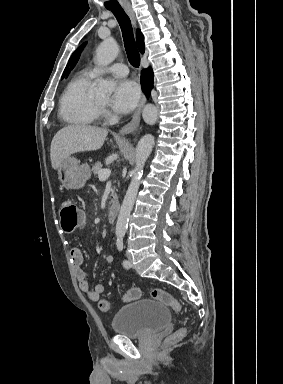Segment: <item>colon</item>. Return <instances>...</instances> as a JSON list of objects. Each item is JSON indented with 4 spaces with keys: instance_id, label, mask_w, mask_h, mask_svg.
<instances>
[{
    "instance_id": "1",
    "label": "colon",
    "mask_w": 283,
    "mask_h": 384,
    "mask_svg": "<svg viewBox=\"0 0 283 384\" xmlns=\"http://www.w3.org/2000/svg\"><path fill=\"white\" fill-rule=\"evenodd\" d=\"M60 224L63 232L69 234L74 232L84 220L83 214L76 206L75 202L69 198H65L59 205ZM141 291L135 287L124 293L122 299L125 302L136 300L140 297ZM151 297L162 304L172 308L178 312L181 309L180 302L172 296L169 292L163 289H153L151 291ZM99 309L103 312H109L111 305L107 300H100L98 303ZM185 334V329H179L168 338V342L172 343L180 340Z\"/></svg>"
}]
</instances>
